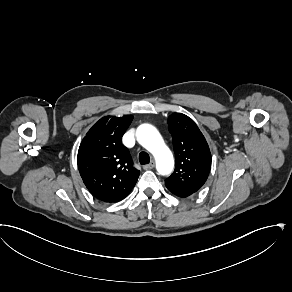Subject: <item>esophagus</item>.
Here are the masks:
<instances>
[{
    "mask_svg": "<svg viewBox=\"0 0 292 292\" xmlns=\"http://www.w3.org/2000/svg\"><path fill=\"white\" fill-rule=\"evenodd\" d=\"M154 166H155V162H154V161H151L149 164L144 165V166H143V169H144V170H150V169H152Z\"/></svg>",
    "mask_w": 292,
    "mask_h": 292,
    "instance_id": "34e87169",
    "label": "esophagus"
}]
</instances>
